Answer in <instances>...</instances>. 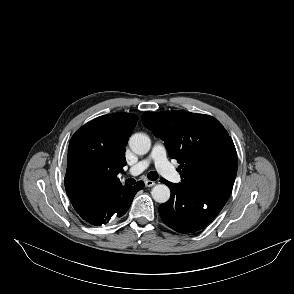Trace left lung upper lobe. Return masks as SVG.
Segmentation results:
<instances>
[{
  "mask_svg": "<svg viewBox=\"0 0 294 294\" xmlns=\"http://www.w3.org/2000/svg\"><path fill=\"white\" fill-rule=\"evenodd\" d=\"M142 122L180 163L183 187L232 188L238 168L236 149L214 117L185 111L144 112Z\"/></svg>",
  "mask_w": 294,
  "mask_h": 294,
  "instance_id": "5c2ea615",
  "label": "left lung upper lobe"
}]
</instances>
